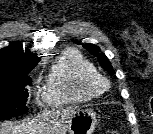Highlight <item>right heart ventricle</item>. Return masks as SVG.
Listing matches in <instances>:
<instances>
[{
    "mask_svg": "<svg viewBox=\"0 0 153 134\" xmlns=\"http://www.w3.org/2000/svg\"><path fill=\"white\" fill-rule=\"evenodd\" d=\"M94 64L76 50H66L52 65L45 85L49 105L77 104L98 97L94 84L98 74Z\"/></svg>",
    "mask_w": 153,
    "mask_h": 134,
    "instance_id": "obj_1",
    "label": "right heart ventricle"
}]
</instances>
